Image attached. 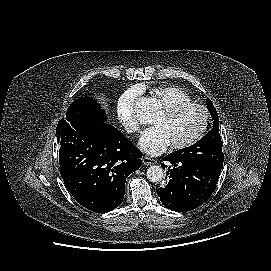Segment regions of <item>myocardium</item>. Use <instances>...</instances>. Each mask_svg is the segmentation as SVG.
Here are the masks:
<instances>
[{"label": "myocardium", "mask_w": 271, "mask_h": 271, "mask_svg": "<svg viewBox=\"0 0 271 271\" xmlns=\"http://www.w3.org/2000/svg\"><path fill=\"white\" fill-rule=\"evenodd\" d=\"M188 108L200 109L203 113V116H204L203 123H202L200 129L192 137H190L186 141L181 142V143H177V144H171V148L173 150L186 149V148L194 145L196 142H198L204 136V134L206 133L208 126H209L210 112L205 105L198 103V102H192V101L184 102V103H177V104H173L170 106L162 107L160 109L161 114L168 116V117H171V116H174V115H176V114H178Z\"/></svg>", "instance_id": "f54148a6"}]
</instances>
